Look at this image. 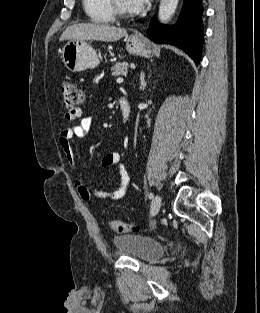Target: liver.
<instances>
[{"label": "liver", "instance_id": "1", "mask_svg": "<svg viewBox=\"0 0 260 313\" xmlns=\"http://www.w3.org/2000/svg\"><path fill=\"white\" fill-rule=\"evenodd\" d=\"M126 34L127 31L125 29L107 24L79 23L66 28L59 40H96L113 42L121 39Z\"/></svg>", "mask_w": 260, "mask_h": 313}]
</instances>
